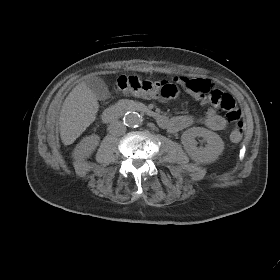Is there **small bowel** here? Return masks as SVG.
Returning <instances> with one entry per match:
<instances>
[{"label":"small bowel","mask_w":280,"mask_h":280,"mask_svg":"<svg viewBox=\"0 0 280 280\" xmlns=\"http://www.w3.org/2000/svg\"><path fill=\"white\" fill-rule=\"evenodd\" d=\"M175 83L181 86L186 92L191 94L200 104L205 105L209 98L205 90L212 87L209 80L199 78L177 77ZM168 123L164 127L170 133H176L192 126L196 121L201 122L213 131H223L227 128V120L218 115L213 109H208L206 113L196 118L192 115H177L167 117Z\"/></svg>","instance_id":"small-bowel-1"}]
</instances>
